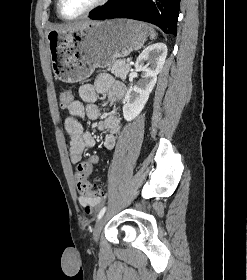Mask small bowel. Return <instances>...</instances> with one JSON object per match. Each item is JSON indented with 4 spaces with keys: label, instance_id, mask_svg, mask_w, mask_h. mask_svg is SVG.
Masks as SVG:
<instances>
[{
    "label": "small bowel",
    "instance_id": "obj_1",
    "mask_svg": "<svg viewBox=\"0 0 247 280\" xmlns=\"http://www.w3.org/2000/svg\"><path fill=\"white\" fill-rule=\"evenodd\" d=\"M125 85L114 79L110 74H98L93 83H86L79 87L80 100L73 101L68 106L69 116L65 119L64 127L69 135V158L73 164L81 163L83 152L95 145L91 133L85 132L82 121L87 118L98 120L97 128L105 132L103 150H111L116 144V137L121 128V121L115 114L102 116L97 105L98 96L107 95L110 101H120L125 94ZM80 203L86 211L97 207L101 197L80 196Z\"/></svg>",
    "mask_w": 247,
    "mask_h": 280
}]
</instances>
